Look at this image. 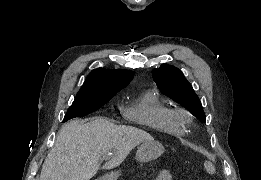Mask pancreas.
I'll return each instance as SVG.
<instances>
[{
    "instance_id": "cf45deb5",
    "label": "pancreas",
    "mask_w": 261,
    "mask_h": 180,
    "mask_svg": "<svg viewBox=\"0 0 261 180\" xmlns=\"http://www.w3.org/2000/svg\"><path fill=\"white\" fill-rule=\"evenodd\" d=\"M156 166H162V163H156ZM142 169H145V166H142Z\"/></svg>"
}]
</instances>
